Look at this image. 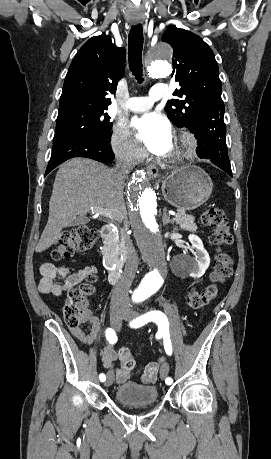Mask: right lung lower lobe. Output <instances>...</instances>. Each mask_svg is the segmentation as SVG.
<instances>
[{
    "label": "right lung lower lobe",
    "instance_id": "obj_1",
    "mask_svg": "<svg viewBox=\"0 0 271 459\" xmlns=\"http://www.w3.org/2000/svg\"><path fill=\"white\" fill-rule=\"evenodd\" d=\"M108 138L73 136L53 144L45 176L62 162L73 157H86L99 162H110L114 154Z\"/></svg>",
    "mask_w": 271,
    "mask_h": 459
}]
</instances>
